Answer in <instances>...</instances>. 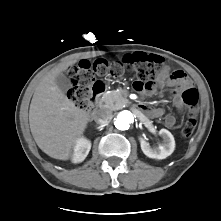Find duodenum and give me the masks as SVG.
<instances>
[{"label":"duodenum","mask_w":221,"mask_h":221,"mask_svg":"<svg viewBox=\"0 0 221 221\" xmlns=\"http://www.w3.org/2000/svg\"><path fill=\"white\" fill-rule=\"evenodd\" d=\"M106 91V85L103 81H96L92 84L90 88V106L88 110L86 111L87 114H91L94 106L99 102L100 97L103 95V93ZM142 110L145 112V108L142 107Z\"/></svg>","instance_id":"obj_1"}]
</instances>
